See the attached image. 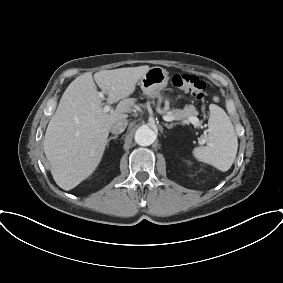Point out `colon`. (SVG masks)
Instances as JSON below:
<instances>
[{
  "label": "colon",
  "instance_id": "1",
  "mask_svg": "<svg viewBox=\"0 0 283 283\" xmlns=\"http://www.w3.org/2000/svg\"><path fill=\"white\" fill-rule=\"evenodd\" d=\"M172 84L178 90L185 92L195 98L202 100L207 94V85L204 81L191 74H175Z\"/></svg>",
  "mask_w": 283,
  "mask_h": 283
}]
</instances>
